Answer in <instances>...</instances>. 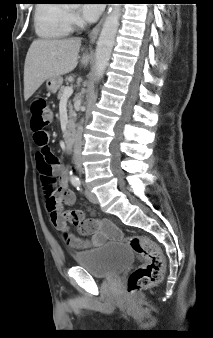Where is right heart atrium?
<instances>
[{
	"instance_id": "1",
	"label": "right heart atrium",
	"mask_w": 213,
	"mask_h": 338,
	"mask_svg": "<svg viewBox=\"0 0 213 338\" xmlns=\"http://www.w3.org/2000/svg\"><path fill=\"white\" fill-rule=\"evenodd\" d=\"M65 22L70 27H77L82 24L80 16L74 11L65 12Z\"/></svg>"
}]
</instances>
